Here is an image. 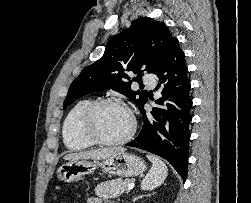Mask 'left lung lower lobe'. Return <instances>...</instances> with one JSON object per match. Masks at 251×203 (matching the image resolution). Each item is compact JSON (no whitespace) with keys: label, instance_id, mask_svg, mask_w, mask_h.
<instances>
[{"label":"left lung lower lobe","instance_id":"0a47b994","mask_svg":"<svg viewBox=\"0 0 251 203\" xmlns=\"http://www.w3.org/2000/svg\"><path fill=\"white\" fill-rule=\"evenodd\" d=\"M162 85V97L156 100L161 107L150 113L144 108V124L139 135L126 146L137 147L169 161L185 180L189 157V126L192 121L190 81L184 52L175 39L167 57L154 71Z\"/></svg>","mask_w":251,"mask_h":203}]
</instances>
